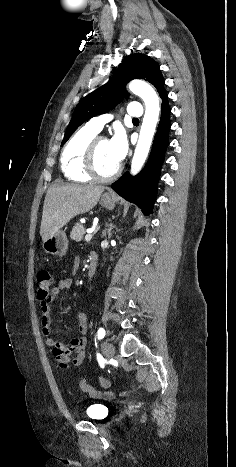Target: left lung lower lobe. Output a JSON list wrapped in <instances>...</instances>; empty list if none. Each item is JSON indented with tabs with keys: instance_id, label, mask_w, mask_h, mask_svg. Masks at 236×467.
<instances>
[{
	"instance_id": "obj_1",
	"label": "left lung lower lobe",
	"mask_w": 236,
	"mask_h": 467,
	"mask_svg": "<svg viewBox=\"0 0 236 467\" xmlns=\"http://www.w3.org/2000/svg\"><path fill=\"white\" fill-rule=\"evenodd\" d=\"M160 97L162 99L161 119L146 166L138 175L132 177L126 172L112 184V189L116 193L135 203L145 215L152 213L160 169L164 160L165 149L168 146L170 107L165 90L160 93Z\"/></svg>"
}]
</instances>
